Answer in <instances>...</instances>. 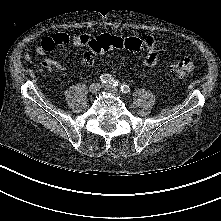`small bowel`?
I'll use <instances>...</instances> for the list:
<instances>
[{"mask_svg":"<svg viewBox=\"0 0 221 221\" xmlns=\"http://www.w3.org/2000/svg\"><path fill=\"white\" fill-rule=\"evenodd\" d=\"M95 37L86 33H77L72 37L65 33H57L42 39V42L36 48V52L44 56L42 61V67L46 70L56 69L59 71H65L66 65L60 63L59 61L48 57L47 54L52 51L56 46L63 45L72 42L75 46H87L89 42ZM145 55L143 57L142 63L145 67H153L158 62L157 50L160 47V43L153 36H146L143 40ZM83 61L88 66H93L95 64V59L92 55L87 52L83 55Z\"/></svg>","mask_w":221,"mask_h":221,"instance_id":"obj_1","label":"small bowel"}]
</instances>
